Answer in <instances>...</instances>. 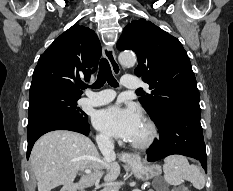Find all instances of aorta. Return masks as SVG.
Here are the masks:
<instances>
[{"mask_svg": "<svg viewBox=\"0 0 233 191\" xmlns=\"http://www.w3.org/2000/svg\"><path fill=\"white\" fill-rule=\"evenodd\" d=\"M118 60L122 66L133 67L136 63L135 55L132 52L124 51L118 56Z\"/></svg>", "mask_w": 233, "mask_h": 191, "instance_id": "1", "label": "aorta"}]
</instances>
